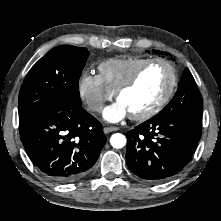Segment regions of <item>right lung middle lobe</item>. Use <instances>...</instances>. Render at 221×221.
<instances>
[{
  "label": "right lung middle lobe",
  "instance_id": "dd1d6c3e",
  "mask_svg": "<svg viewBox=\"0 0 221 221\" xmlns=\"http://www.w3.org/2000/svg\"><path fill=\"white\" fill-rule=\"evenodd\" d=\"M90 52L61 45L49 51L29 71L19 94V123L59 110L81 107L79 78Z\"/></svg>",
  "mask_w": 221,
  "mask_h": 221
}]
</instances>
